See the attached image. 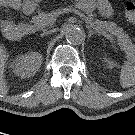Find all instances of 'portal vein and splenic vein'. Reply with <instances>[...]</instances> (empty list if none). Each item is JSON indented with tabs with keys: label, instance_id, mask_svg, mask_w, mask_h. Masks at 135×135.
I'll list each match as a JSON object with an SVG mask.
<instances>
[{
	"label": "portal vein and splenic vein",
	"instance_id": "obj_1",
	"mask_svg": "<svg viewBox=\"0 0 135 135\" xmlns=\"http://www.w3.org/2000/svg\"><path fill=\"white\" fill-rule=\"evenodd\" d=\"M65 12L74 13V14L80 16L82 19H85V20H86L85 15H84L83 13H81L79 10H76V9H66L65 11H57V12H55V14L52 15V16L50 17V19H49L50 23H54V22H55V18H56L59 14L65 13ZM102 33H103V35H104L105 37H107L108 39H110V35L106 34V32H102Z\"/></svg>",
	"mask_w": 135,
	"mask_h": 135
}]
</instances>
